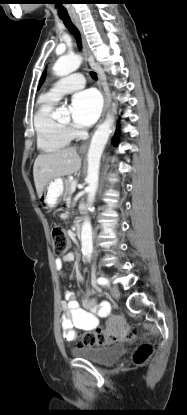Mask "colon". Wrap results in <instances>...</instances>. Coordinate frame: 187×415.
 <instances>
[{
    "label": "colon",
    "instance_id": "obj_1",
    "mask_svg": "<svg viewBox=\"0 0 187 415\" xmlns=\"http://www.w3.org/2000/svg\"><path fill=\"white\" fill-rule=\"evenodd\" d=\"M53 241V252L56 256L64 255L69 246L70 239L65 230L60 225H54L51 228ZM137 330L134 328L127 329L123 325L115 322V326L109 330H100L86 334L82 339V344L91 346H104L114 343L120 339H130L136 336ZM153 352V346L150 343L140 344L133 354V360L137 364L145 363Z\"/></svg>",
    "mask_w": 187,
    "mask_h": 415
}]
</instances>
